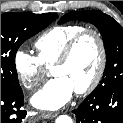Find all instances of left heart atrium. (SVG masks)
I'll use <instances>...</instances> for the list:
<instances>
[{
  "label": "left heart atrium",
  "instance_id": "39dd6f15",
  "mask_svg": "<svg viewBox=\"0 0 123 123\" xmlns=\"http://www.w3.org/2000/svg\"><path fill=\"white\" fill-rule=\"evenodd\" d=\"M74 88L64 77H55L31 98L32 104L42 110H56L64 106L72 97Z\"/></svg>",
  "mask_w": 123,
  "mask_h": 123
}]
</instances>
